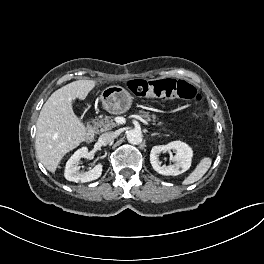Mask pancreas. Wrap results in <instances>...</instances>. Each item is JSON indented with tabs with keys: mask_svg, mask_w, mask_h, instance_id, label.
Wrapping results in <instances>:
<instances>
[{
	"mask_svg": "<svg viewBox=\"0 0 264 264\" xmlns=\"http://www.w3.org/2000/svg\"><path fill=\"white\" fill-rule=\"evenodd\" d=\"M139 113L140 116L144 117L148 121L152 120L154 122L153 124H156L157 117L155 114L150 116L149 112H145V111H140ZM92 124H93L92 129L94 130L95 133L106 132L116 127V123L110 116H105L104 118L94 120ZM161 124L162 122H159L157 125H161Z\"/></svg>",
	"mask_w": 264,
	"mask_h": 264,
	"instance_id": "obj_1",
	"label": "pancreas"
}]
</instances>
